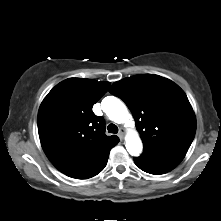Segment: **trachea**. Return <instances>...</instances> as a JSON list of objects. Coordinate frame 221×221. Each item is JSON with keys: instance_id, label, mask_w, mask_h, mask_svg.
I'll return each mask as SVG.
<instances>
[{"instance_id": "trachea-1", "label": "trachea", "mask_w": 221, "mask_h": 221, "mask_svg": "<svg viewBox=\"0 0 221 221\" xmlns=\"http://www.w3.org/2000/svg\"><path fill=\"white\" fill-rule=\"evenodd\" d=\"M107 129L109 133L116 134L118 132V127L115 124H109Z\"/></svg>"}]
</instances>
